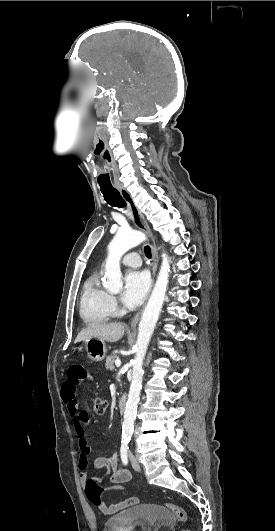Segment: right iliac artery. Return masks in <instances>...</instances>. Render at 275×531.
<instances>
[{"label": "right iliac artery", "mask_w": 275, "mask_h": 531, "mask_svg": "<svg viewBox=\"0 0 275 531\" xmlns=\"http://www.w3.org/2000/svg\"><path fill=\"white\" fill-rule=\"evenodd\" d=\"M128 441L127 440H122L121 441V448H120V455H121V460L123 462L124 465H127L128 463Z\"/></svg>", "instance_id": "obj_1"}]
</instances>
